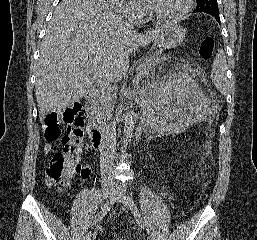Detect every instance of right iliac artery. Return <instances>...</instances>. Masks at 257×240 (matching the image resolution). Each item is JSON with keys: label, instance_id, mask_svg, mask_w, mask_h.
I'll use <instances>...</instances> for the list:
<instances>
[{"label": "right iliac artery", "instance_id": "obj_1", "mask_svg": "<svg viewBox=\"0 0 257 240\" xmlns=\"http://www.w3.org/2000/svg\"><path fill=\"white\" fill-rule=\"evenodd\" d=\"M115 195L116 192L112 193V195L110 196L109 201L105 204V206L103 208H101V210L99 211V213L97 214V216L95 217L92 226H94L100 219H102L107 212L111 209L112 205L114 204L115 201Z\"/></svg>", "mask_w": 257, "mask_h": 240}]
</instances>
